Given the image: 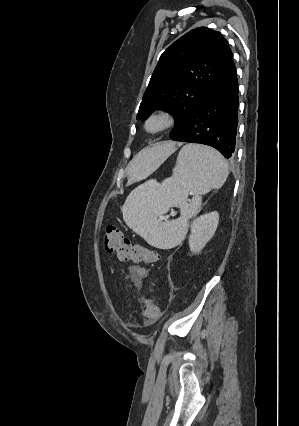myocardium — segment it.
Instances as JSON below:
<instances>
[{"label":"myocardium","instance_id":"myocardium-1","mask_svg":"<svg viewBox=\"0 0 299 426\" xmlns=\"http://www.w3.org/2000/svg\"><path fill=\"white\" fill-rule=\"evenodd\" d=\"M175 123V117L167 109L151 112L143 122V129L150 135H158L170 129Z\"/></svg>","mask_w":299,"mask_h":426}]
</instances>
